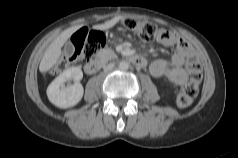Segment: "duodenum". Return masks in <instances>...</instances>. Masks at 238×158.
Listing matches in <instances>:
<instances>
[{
    "mask_svg": "<svg viewBox=\"0 0 238 158\" xmlns=\"http://www.w3.org/2000/svg\"><path fill=\"white\" fill-rule=\"evenodd\" d=\"M129 60L136 65L137 67L143 68L146 66L147 62L146 59L139 55H132L129 56ZM102 60L95 59L85 64L84 70L87 74H94L96 73L102 66Z\"/></svg>",
    "mask_w": 238,
    "mask_h": 158,
    "instance_id": "1",
    "label": "duodenum"
}]
</instances>
